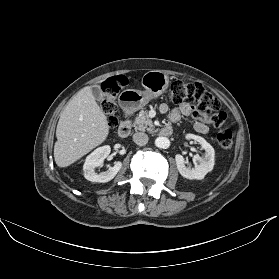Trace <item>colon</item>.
<instances>
[{"mask_svg":"<svg viewBox=\"0 0 279 279\" xmlns=\"http://www.w3.org/2000/svg\"><path fill=\"white\" fill-rule=\"evenodd\" d=\"M126 85L127 79L123 76L110 78L102 84L101 108L110 128H115L119 123L116 99ZM169 100L174 104L188 102L195 118L210 122L215 128H221L226 120V113L222 111L219 99L198 83L173 82L169 90ZM216 140L221 148L229 150L233 146L234 134L229 129H219Z\"/></svg>","mask_w":279,"mask_h":279,"instance_id":"5ec220e1","label":"colon"}]
</instances>
